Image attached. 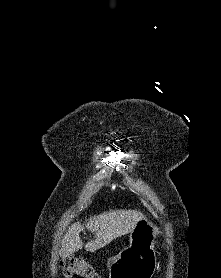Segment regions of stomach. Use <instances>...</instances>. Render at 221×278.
Instances as JSON below:
<instances>
[{"instance_id": "1", "label": "stomach", "mask_w": 221, "mask_h": 278, "mask_svg": "<svg viewBox=\"0 0 221 278\" xmlns=\"http://www.w3.org/2000/svg\"><path fill=\"white\" fill-rule=\"evenodd\" d=\"M157 227L148 219H141L130 234V245L127 251L115 254L111 264L110 278H150L155 274L154 242Z\"/></svg>"}]
</instances>
